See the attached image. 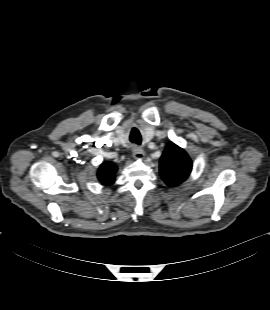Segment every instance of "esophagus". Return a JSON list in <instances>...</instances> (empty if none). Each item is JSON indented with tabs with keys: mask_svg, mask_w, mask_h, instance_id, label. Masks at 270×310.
Masks as SVG:
<instances>
[{
	"mask_svg": "<svg viewBox=\"0 0 270 310\" xmlns=\"http://www.w3.org/2000/svg\"><path fill=\"white\" fill-rule=\"evenodd\" d=\"M133 157L137 160H142L145 157V152L140 147L133 148Z\"/></svg>",
	"mask_w": 270,
	"mask_h": 310,
	"instance_id": "34e87169",
	"label": "esophagus"
}]
</instances>
